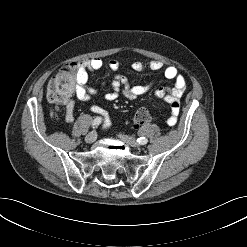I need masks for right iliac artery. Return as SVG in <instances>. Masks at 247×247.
I'll use <instances>...</instances> for the list:
<instances>
[{
  "instance_id": "1",
  "label": "right iliac artery",
  "mask_w": 247,
  "mask_h": 247,
  "mask_svg": "<svg viewBox=\"0 0 247 247\" xmlns=\"http://www.w3.org/2000/svg\"><path fill=\"white\" fill-rule=\"evenodd\" d=\"M102 122V118L101 117H97L93 120L92 122V127L95 128L97 127L100 123Z\"/></svg>"
}]
</instances>
